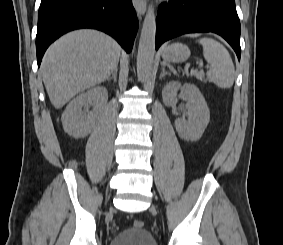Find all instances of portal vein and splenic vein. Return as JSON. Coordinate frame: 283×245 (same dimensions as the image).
<instances>
[{"mask_svg":"<svg viewBox=\"0 0 283 245\" xmlns=\"http://www.w3.org/2000/svg\"><path fill=\"white\" fill-rule=\"evenodd\" d=\"M199 67H203V63L201 62V63H199Z\"/></svg>","mask_w":283,"mask_h":245,"instance_id":"1","label":"portal vein and splenic vein"}]
</instances>
